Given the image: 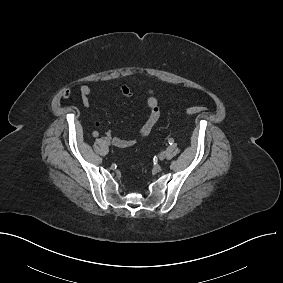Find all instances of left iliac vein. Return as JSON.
Listing matches in <instances>:
<instances>
[{"mask_svg":"<svg viewBox=\"0 0 283 283\" xmlns=\"http://www.w3.org/2000/svg\"><path fill=\"white\" fill-rule=\"evenodd\" d=\"M158 158H159L160 161L164 160L166 158V152L165 151L161 152L159 154Z\"/></svg>","mask_w":283,"mask_h":283,"instance_id":"obj_1","label":"left iliac vein"}]
</instances>
